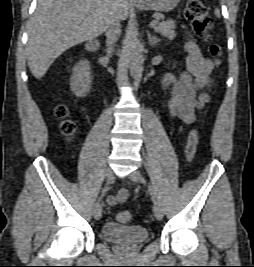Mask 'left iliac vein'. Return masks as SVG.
<instances>
[{
	"label": "left iliac vein",
	"mask_w": 254,
	"mask_h": 267,
	"mask_svg": "<svg viewBox=\"0 0 254 267\" xmlns=\"http://www.w3.org/2000/svg\"><path fill=\"white\" fill-rule=\"evenodd\" d=\"M129 176H130V179L134 182H142L143 181L142 175L139 171H133L130 173ZM153 212H154L155 217L158 220H161L163 218V210H162V207H161L159 201H157V200L154 201Z\"/></svg>",
	"instance_id": "4c4485c4"
}]
</instances>
